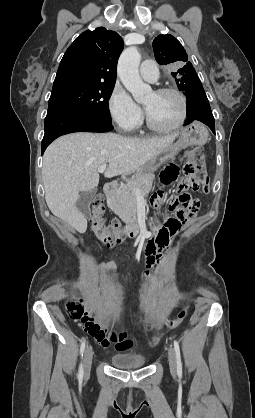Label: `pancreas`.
Here are the masks:
<instances>
[{"instance_id": "obj_1", "label": "pancreas", "mask_w": 255, "mask_h": 418, "mask_svg": "<svg viewBox=\"0 0 255 418\" xmlns=\"http://www.w3.org/2000/svg\"><path fill=\"white\" fill-rule=\"evenodd\" d=\"M154 180L152 173L135 174L126 184H121L115 193L108 198V207L123 220H136L137 194L147 195Z\"/></svg>"}]
</instances>
